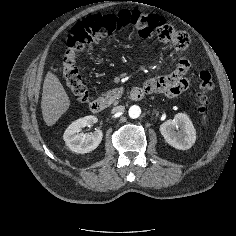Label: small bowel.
Instances as JSON below:
<instances>
[{
	"label": "small bowel",
	"instance_id": "1",
	"mask_svg": "<svg viewBox=\"0 0 236 236\" xmlns=\"http://www.w3.org/2000/svg\"><path fill=\"white\" fill-rule=\"evenodd\" d=\"M181 34L184 38L183 43L180 42L173 43L179 55L177 68L174 70L173 73L169 75L153 78L147 81L143 87L145 93L147 94L158 93L166 96H173L187 89L188 82L185 78V75L190 68V60L185 54L189 47V39L184 33ZM181 82H185L187 84L186 89L182 91L179 90V84Z\"/></svg>",
	"mask_w": 236,
	"mask_h": 236
}]
</instances>
